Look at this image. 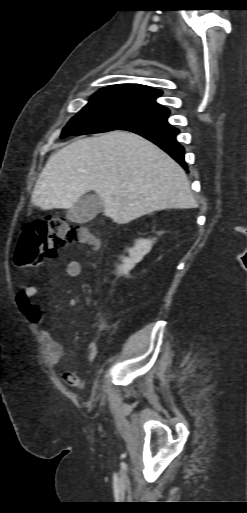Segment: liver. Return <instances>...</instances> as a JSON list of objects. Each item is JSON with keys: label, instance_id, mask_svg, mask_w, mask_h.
Here are the masks:
<instances>
[{"label": "liver", "instance_id": "liver-1", "mask_svg": "<svg viewBox=\"0 0 247 513\" xmlns=\"http://www.w3.org/2000/svg\"><path fill=\"white\" fill-rule=\"evenodd\" d=\"M90 191L117 224L198 206L181 166L149 140L122 130L78 139L52 154L31 201L42 210L69 209Z\"/></svg>", "mask_w": 247, "mask_h": 513}]
</instances>
